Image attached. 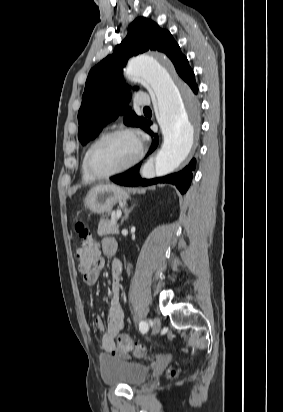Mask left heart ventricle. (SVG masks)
Here are the masks:
<instances>
[{
    "label": "left heart ventricle",
    "mask_w": 283,
    "mask_h": 412,
    "mask_svg": "<svg viewBox=\"0 0 283 412\" xmlns=\"http://www.w3.org/2000/svg\"><path fill=\"white\" fill-rule=\"evenodd\" d=\"M139 144L131 135H116L98 146L91 158L93 169L108 173L131 162L138 153Z\"/></svg>",
    "instance_id": "1"
}]
</instances>
